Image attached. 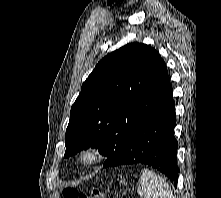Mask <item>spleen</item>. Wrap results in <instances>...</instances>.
Listing matches in <instances>:
<instances>
[{
  "label": "spleen",
  "instance_id": "3e777b00",
  "mask_svg": "<svg viewBox=\"0 0 221 198\" xmlns=\"http://www.w3.org/2000/svg\"><path fill=\"white\" fill-rule=\"evenodd\" d=\"M138 193L143 198H174L173 192L164 178L148 169L141 170Z\"/></svg>",
  "mask_w": 221,
  "mask_h": 198
}]
</instances>
